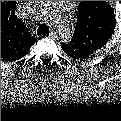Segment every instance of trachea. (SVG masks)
<instances>
[{
	"label": "trachea",
	"instance_id": "3493384b",
	"mask_svg": "<svg viewBox=\"0 0 121 121\" xmlns=\"http://www.w3.org/2000/svg\"><path fill=\"white\" fill-rule=\"evenodd\" d=\"M49 32V28L45 25V24H41L39 27H38V30H37V34L41 35V34H48Z\"/></svg>",
	"mask_w": 121,
	"mask_h": 121
}]
</instances>
